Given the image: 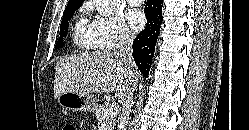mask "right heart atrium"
I'll use <instances>...</instances> for the list:
<instances>
[{
  "instance_id": "1",
  "label": "right heart atrium",
  "mask_w": 249,
  "mask_h": 130,
  "mask_svg": "<svg viewBox=\"0 0 249 130\" xmlns=\"http://www.w3.org/2000/svg\"><path fill=\"white\" fill-rule=\"evenodd\" d=\"M90 9V6L88 7ZM98 46L102 50H115L130 44L134 38L119 14L96 16L92 22Z\"/></svg>"
}]
</instances>
